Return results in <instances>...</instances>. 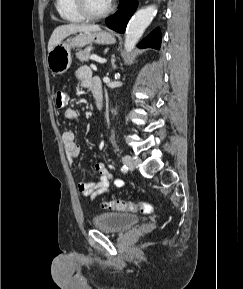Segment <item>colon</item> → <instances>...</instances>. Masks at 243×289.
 I'll list each match as a JSON object with an SVG mask.
<instances>
[{
  "instance_id": "5ec220e1",
  "label": "colon",
  "mask_w": 243,
  "mask_h": 289,
  "mask_svg": "<svg viewBox=\"0 0 243 289\" xmlns=\"http://www.w3.org/2000/svg\"><path fill=\"white\" fill-rule=\"evenodd\" d=\"M55 106L58 109H63L67 103V94L64 91L56 92L54 96ZM102 207L118 210V211H131L139 212L142 214H150L153 210L152 205L147 202H127V201H103Z\"/></svg>"
}]
</instances>
